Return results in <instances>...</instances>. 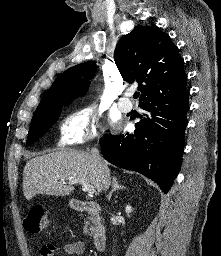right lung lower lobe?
<instances>
[{"label":"right lung lower lobe","instance_id":"right-lung-lower-lobe-1","mask_svg":"<svg viewBox=\"0 0 221 256\" xmlns=\"http://www.w3.org/2000/svg\"><path fill=\"white\" fill-rule=\"evenodd\" d=\"M188 96L186 91L139 104L146 114L136 124L134 134H106L101 138L104 158L118 167L145 175L167 193L182 161Z\"/></svg>","mask_w":221,"mask_h":256}]
</instances>
